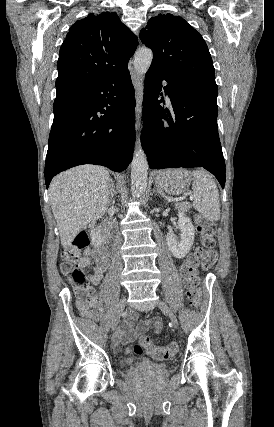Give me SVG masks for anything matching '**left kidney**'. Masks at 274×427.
Instances as JSON below:
<instances>
[{"label":"left kidney","mask_w":274,"mask_h":427,"mask_svg":"<svg viewBox=\"0 0 274 427\" xmlns=\"http://www.w3.org/2000/svg\"><path fill=\"white\" fill-rule=\"evenodd\" d=\"M179 219L176 229H180V239H176L174 231L166 233L167 245L174 257H185L193 245L195 229L190 217L183 212H178Z\"/></svg>","instance_id":"left-kidney-1"}]
</instances>
